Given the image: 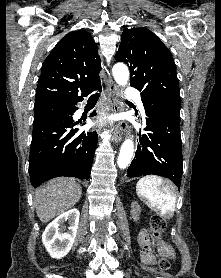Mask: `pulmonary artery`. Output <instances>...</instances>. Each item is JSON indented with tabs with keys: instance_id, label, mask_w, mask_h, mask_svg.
Here are the masks:
<instances>
[{
	"instance_id": "e3ab8cb5",
	"label": "pulmonary artery",
	"mask_w": 221,
	"mask_h": 278,
	"mask_svg": "<svg viewBox=\"0 0 221 278\" xmlns=\"http://www.w3.org/2000/svg\"><path fill=\"white\" fill-rule=\"evenodd\" d=\"M126 95H127V97L136 100L140 110L144 114V107H143V104H142V101H141L140 92L137 89L130 87V88L127 89Z\"/></svg>"
}]
</instances>
